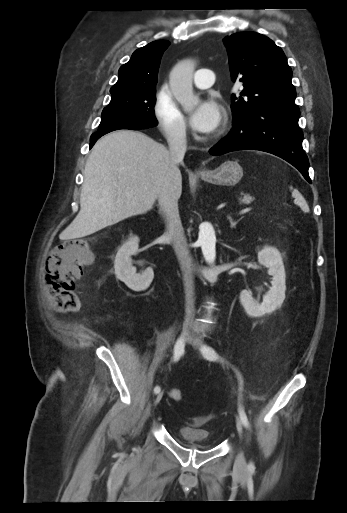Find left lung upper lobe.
<instances>
[{
    "label": "left lung upper lobe",
    "instance_id": "obj_1",
    "mask_svg": "<svg viewBox=\"0 0 347 513\" xmlns=\"http://www.w3.org/2000/svg\"><path fill=\"white\" fill-rule=\"evenodd\" d=\"M233 80L243 82V97L232 95L233 119L267 105H296L292 70L282 49L266 36L240 32L224 39Z\"/></svg>",
    "mask_w": 347,
    "mask_h": 513
}]
</instances>
